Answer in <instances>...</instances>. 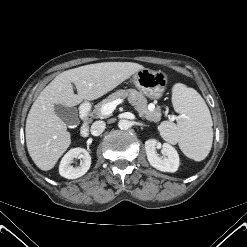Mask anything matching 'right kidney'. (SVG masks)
Returning <instances> with one entry per match:
<instances>
[{
	"label": "right kidney",
	"mask_w": 247,
	"mask_h": 247,
	"mask_svg": "<svg viewBox=\"0 0 247 247\" xmlns=\"http://www.w3.org/2000/svg\"><path fill=\"white\" fill-rule=\"evenodd\" d=\"M74 158L82 159L80 165L77 167L71 165ZM90 165L91 157L89 153L83 148H73L62 158L59 166V173L64 178L76 179L83 176L89 170Z\"/></svg>",
	"instance_id": "obj_1"
}]
</instances>
